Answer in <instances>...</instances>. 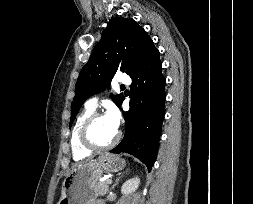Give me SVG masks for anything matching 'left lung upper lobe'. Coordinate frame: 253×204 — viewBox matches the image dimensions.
<instances>
[{
	"label": "left lung upper lobe",
	"mask_w": 253,
	"mask_h": 204,
	"mask_svg": "<svg viewBox=\"0 0 253 204\" xmlns=\"http://www.w3.org/2000/svg\"><path fill=\"white\" fill-rule=\"evenodd\" d=\"M153 46L147 32L133 19L112 18L79 74L71 105L70 127L87 98L107 88L117 71L130 77L135 75ZM111 98L120 108L123 94L112 95Z\"/></svg>",
	"instance_id": "5c2ea615"
}]
</instances>
